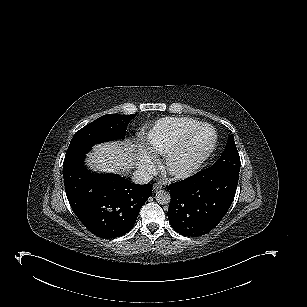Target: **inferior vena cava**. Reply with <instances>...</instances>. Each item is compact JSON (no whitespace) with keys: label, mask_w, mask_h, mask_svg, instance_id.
<instances>
[{"label":"inferior vena cava","mask_w":307,"mask_h":307,"mask_svg":"<svg viewBox=\"0 0 307 307\" xmlns=\"http://www.w3.org/2000/svg\"><path fill=\"white\" fill-rule=\"evenodd\" d=\"M132 182L135 184H147L152 180V176L144 170H136L132 175Z\"/></svg>","instance_id":"602c4592"}]
</instances>
